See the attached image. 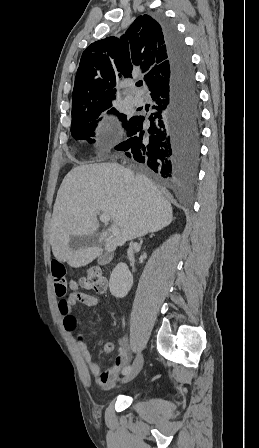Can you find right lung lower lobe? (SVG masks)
Here are the masks:
<instances>
[{"label": "right lung lower lobe", "instance_id": "obj_1", "mask_svg": "<svg viewBox=\"0 0 259 448\" xmlns=\"http://www.w3.org/2000/svg\"><path fill=\"white\" fill-rule=\"evenodd\" d=\"M160 23L171 67L168 88L151 95L154 110L143 128L144 116L126 127V141L115 146L128 157L147 164L172 184L192 185L199 162L200 109L193 64L182 37L163 17Z\"/></svg>", "mask_w": 259, "mask_h": 448}]
</instances>
